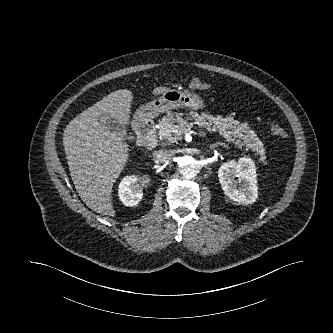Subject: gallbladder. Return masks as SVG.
I'll return each mask as SVG.
<instances>
[{"label":"gallbladder","instance_id":"obj_1","mask_svg":"<svg viewBox=\"0 0 333 333\" xmlns=\"http://www.w3.org/2000/svg\"><path fill=\"white\" fill-rule=\"evenodd\" d=\"M101 122L106 127V129L115 133L117 136L121 138L126 137V128L123 124L119 123L118 121L114 120L111 117H104V116L101 117Z\"/></svg>","mask_w":333,"mask_h":333}]
</instances>
